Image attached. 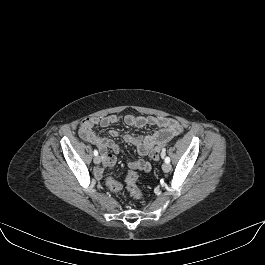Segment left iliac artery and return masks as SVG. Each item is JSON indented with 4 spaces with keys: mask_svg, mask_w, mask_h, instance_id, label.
Wrapping results in <instances>:
<instances>
[{
    "mask_svg": "<svg viewBox=\"0 0 265 265\" xmlns=\"http://www.w3.org/2000/svg\"><path fill=\"white\" fill-rule=\"evenodd\" d=\"M165 162H166V163H170V158H169V157H166V158H165Z\"/></svg>",
    "mask_w": 265,
    "mask_h": 265,
    "instance_id": "left-iliac-artery-1",
    "label": "left iliac artery"
}]
</instances>
